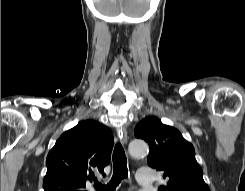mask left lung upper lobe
<instances>
[{
	"label": "left lung upper lobe",
	"mask_w": 245,
	"mask_h": 191,
	"mask_svg": "<svg viewBox=\"0 0 245 191\" xmlns=\"http://www.w3.org/2000/svg\"><path fill=\"white\" fill-rule=\"evenodd\" d=\"M134 134L149 143L148 165L168 180L158 191H210L193 145L176 128L150 116L137 124Z\"/></svg>",
	"instance_id": "obj_1"
}]
</instances>
